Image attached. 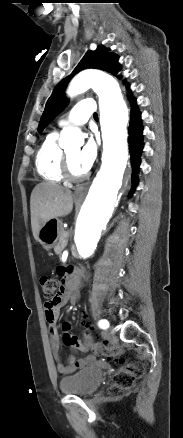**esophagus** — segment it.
Returning a JSON list of instances; mask_svg holds the SVG:
<instances>
[{"label":"esophagus","instance_id":"1","mask_svg":"<svg viewBox=\"0 0 183 438\" xmlns=\"http://www.w3.org/2000/svg\"><path fill=\"white\" fill-rule=\"evenodd\" d=\"M88 185H89V183L86 182V183H84V184L78 186V187L75 189V194H76L77 196H82V195H84L85 192H86V190H87Z\"/></svg>","mask_w":183,"mask_h":438}]
</instances>
